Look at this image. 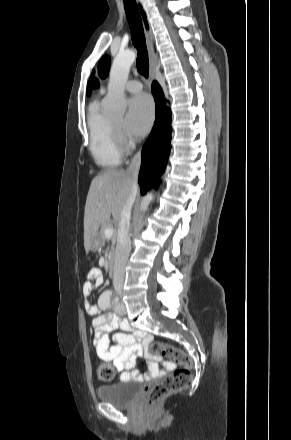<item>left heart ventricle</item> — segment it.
<instances>
[{"label":"left heart ventricle","mask_w":291,"mask_h":440,"mask_svg":"<svg viewBox=\"0 0 291 440\" xmlns=\"http://www.w3.org/2000/svg\"><path fill=\"white\" fill-rule=\"evenodd\" d=\"M113 122H114L115 124H117V125H119V126L122 127V124H123V117H120V118H114V119H113Z\"/></svg>","instance_id":"1"}]
</instances>
